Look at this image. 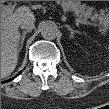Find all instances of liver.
<instances>
[{
	"mask_svg": "<svg viewBox=\"0 0 109 109\" xmlns=\"http://www.w3.org/2000/svg\"><path fill=\"white\" fill-rule=\"evenodd\" d=\"M23 21H35L34 13L28 7H20L14 13L1 19V76L10 75L18 62L19 25Z\"/></svg>",
	"mask_w": 109,
	"mask_h": 109,
	"instance_id": "liver-1",
	"label": "liver"
}]
</instances>
